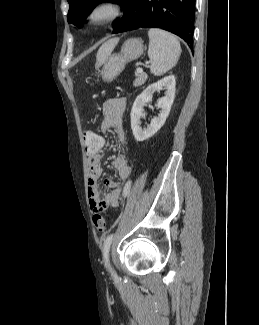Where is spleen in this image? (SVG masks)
Segmentation results:
<instances>
[{"label": "spleen", "instance_id": "1", "mask_svg": "<svg viewBox=\"0 0 259 325\" xmlns=\"http://www.w3.org/2000/svg\"><path fill=\"white\" fill-rule=\"evenodd\" d=\"M148 37L150 72L155 76H161L177 64L181 46L176 36L162 29L151 28Z\"/></svg>", "mask_w": 259, "mask_h": 325}]
</instances>
